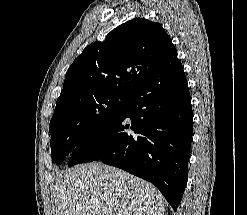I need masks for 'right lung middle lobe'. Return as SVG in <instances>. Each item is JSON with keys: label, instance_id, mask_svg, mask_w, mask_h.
I'll return each instance as SVG.
<instances>
[{"label": "right lung middle lobe", "instance_id": "obj_1", "mask_svg": "<svg viewBox=\"0 0 247 215\" xmlns=\"http://www.w3.org/2000/svg\"><path fill=\"white\" fill-rule=\"evenodd\" d=\"M129 97L96 94L56 108L49 124L53 161L61 164L83 139L117 118L125 110Z\"/></svg>", "mask_w": 247, "mask_h": 215}]
</instances>
